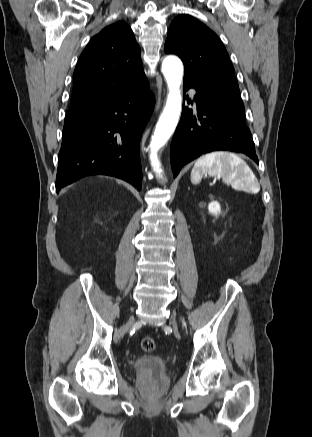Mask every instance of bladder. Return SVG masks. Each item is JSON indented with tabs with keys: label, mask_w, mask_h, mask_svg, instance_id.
Segmentation results:
<instances>
[{
	"label": "bladder",
	"mask_w": 312,
	"mask_h": 437,
	"mask_svg": "<svg viewBox=\"0 0 312 437\" xmlns=\"http://www.w3.org/2000/svg\"><path fill=\"white\" fill-rule=\"evenodd\" d=\"M133 369L140 375H161L166 373L168 365L159 356L144 354L133 362Z\"/></svg>",
	"instance_id": "1"
}]
</instances>
